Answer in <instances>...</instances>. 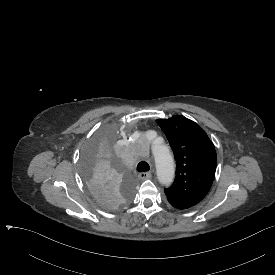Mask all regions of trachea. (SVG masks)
I'll return each mask as SVG.
<instances>
[{"label":"trachea","mask_w":275,"mask_h":275,"mask_svg":"<svg viewBox=\"0 0 275 275\" xmlns=\"http://www.w3.org/2000/svg\"><path fill=\"white\" fill-rule=\"evenodd\" d=\"M150 167H149V164L147 162H140L138 165H137V171L138 172H145V171H149Z\"/></svg>","instance_id":"3493384b"}]
</instances>
